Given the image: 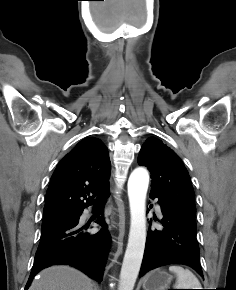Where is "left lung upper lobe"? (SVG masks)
Listing matches in <instances>:
<instances>
[{"label":"left lung upper lobe","mask_w":236,"mask_h":290,"mask_svg":"<svg viewBox=\"0 0 236 290\" xmlns=\"http://www.w3.org/2000/svg\"><path fill=\"white\" fill-rule=\"evenodd\" d=\"M138 163L146 166L151 173L150 194L156 195L195 223L193 187L187 169L174 151L161 140L151 137L143 144Z\"/></svg>","instance_id":"5c2ea615"}]
</instances>
